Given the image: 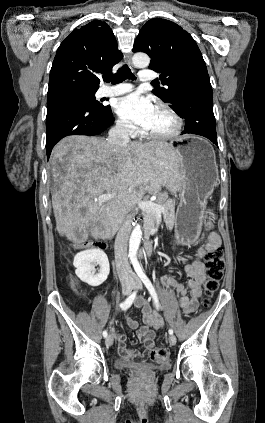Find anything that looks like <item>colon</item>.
<instances>
[{"label": "colon", "instance_id": "obj_1", "mask_svg": "<svg viewBox=\"0 0 265 423\" xmlns=\"http://www.w3.org/2000/svg\"><path fill=\"white\" fill-rule=\"evenodd\" d=\"M214 221L215 215L213 211L208 210L205 215L207 228H211ZM87 245L98 249H103L105 246L102 242L89 243ZM205 267L207 280L205 282V297L202 299V305L208 307L210 305V297L218 289L219 281L222 279L225 270L224 256L220 247H210L207 249L205 253ZM149 357L157 363H163L169 357V350L165 344L154 347L149 351Z\"/></svg>", "mask_w": 265, "mask_h": 423}]
</instances>
